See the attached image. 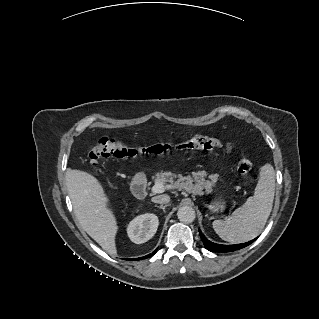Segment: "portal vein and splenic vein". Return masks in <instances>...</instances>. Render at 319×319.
I'll return each instance as SVG.
<instances>
[{
  "instance_id": "1",
  "label": "portal vein and splenic vein",
  "mask_w": 319,
  "mask_h": 319,
  "mask_svg": "<svg viewBox=\"0 0 319 319\" xmlns=\"http://www.w3.org/2000/svg\"><path fill=\"white\" fill-rule=\"evenodd\" d=\"M151 192L153 194H158L164 192V185L162 182H157L152 188Z\"/></svg>"
}]
</instances>
